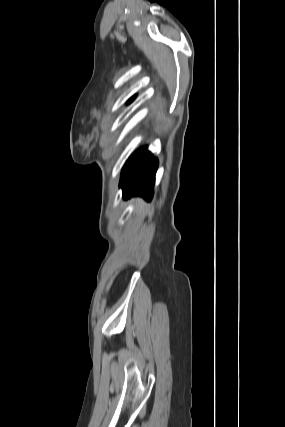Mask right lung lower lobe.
<instances>
[{
  "instance_id": "right-lung-lower-lobe-1",
  "label": "right lung lower lobe",
  "mask_w": 285,
  "mask_h": 427,
  "mask_svg": "<svg viewBox=\"0 0 285 427\" xmlns=\"http://www.w3.org/2000/svg\"><path fill=\"white\" fill-rule=\"evenodd\" d=\"M158 161L146 148L137 150L126 162L121 176L120 186L123 197L142 195L150 199L153 193L155 173Z\"/></svg>"
}]
</instances>
